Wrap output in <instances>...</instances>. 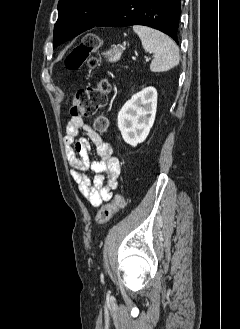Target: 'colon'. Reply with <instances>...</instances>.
I'll list each match as a JSON object with an SVG mask.
<instances>
[{
	"label": "colon",
	"mask_w": 240,
	"mask_h": 329,
	"mask_svg": "<svg viewBox=\"0 0 240 329\" xmlns=\"http://www.w3.org/2000/svg\"><path fill=\"white\" fill-rule=\"evenodd\" d=\"M100 42L96 35L87 34L81 42L68 54L65 60V66L70 71H78L85 64L89 67H95L97 61L91 57L99 48ZM109 83L101 80L97 84L77 91L72 98L71 113L75 117H90L100 108L106 105ZM108 124L104 116H100L95 121V127L102 132ZM125 207V199L122 195L116 194L112 200L100 208L97 212L95 221L103 224L109 221L114 214Z\"/></svg>",
	"instance_id": "1"
}]
</instances>
